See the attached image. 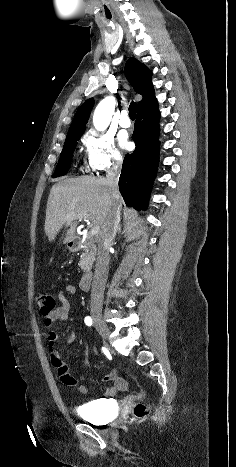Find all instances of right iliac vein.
<instances>
[{"instance_id":"1","label":"right iliac vein","mask_w":236,"mask_h":467,"mask_svg":"<svg viewBox=\"0 0 236 467\" xmlns=\"http://www.w3.org/2000/svg\"><path fill=\"white\" fill-rule=\"evenodd\" d=\"M92 318L95 324L97 331L101 334L104 339H107L109 336V329L106 322L103 320L101 313L93 312Z\"/></svg>"}]
</instances>
